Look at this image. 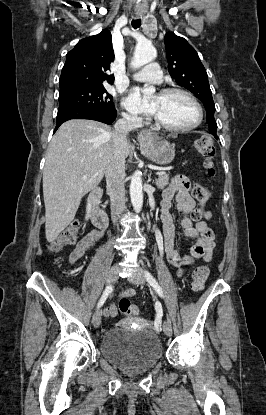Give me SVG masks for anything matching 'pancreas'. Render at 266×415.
Here are the masks:
<instances>
[{
    "mask_svg": "<svg viewBox=\"0 0 266 415\" xmlns=\"http://www.w3.org/2000/svg\"><path fill=\"white\" fill-rule=\"evenodd\" d=\"M155 184L158 188H164L169 184V175L166 173L158 175V179H156Z\"/></svg>",
    "mask_w": 266,
    "mask_h": 415,
    "instance_id": "1",
    "label": "pancreas"
}]
</instances>
